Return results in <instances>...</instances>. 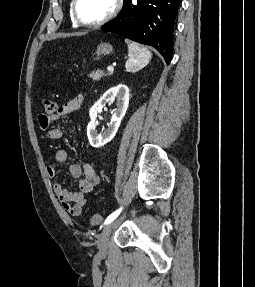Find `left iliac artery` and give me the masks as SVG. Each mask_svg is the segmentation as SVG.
<instances>
[{"mask_svg": "<svg viewBox=\"0 0 255 287\" xmlns=\"http://www.w3.org/2000/svg\"><path fill=\"white\" fill-rule=\"evenodd\" d=\"M122 208L118 209L117 211L113 212L111 215H109L107 217V219L105 220L104 224H108L110 222H112L121 212Z\"/></svg>", "mask_w": 255, "mask_h": 287, "instance_id": "1", "label": "left iliac artery"}]
</instances>
